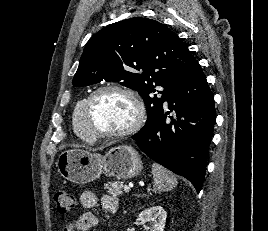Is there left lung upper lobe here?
Returning <instances> with one entry per match:
<instances>
[{"label":"left lung upper lobe","instance_id":"1","mask_svg":"<svg viewBox=\"0 0 268 231\" xmlns=\"http://www.w3.org/2000/svg\"><path fill=\"white\" fill-rule=\"evenodd\" d=\"M197 60L176 33L152 19L134 17L108 25L86 44L73 78L76 87L102 80L121 81L138 91L147 108L141 130L154 124L163 111L171 86ZM155 86H162L157 97Z\"/></svg>","mask_w":268,"mask_h":231}]
</instances>
